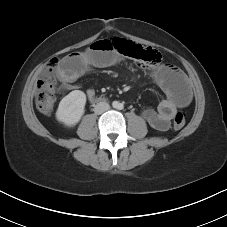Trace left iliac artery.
Masks as SVG:
<instances>
[{"mask_svg":"<svg viewBox=\"0 0 227 227\" xmlns=\"http://www.w3.org/2000/svg\"><path fill=\"white\" fill-rule=\"evenodd\" d=\"M123 108V105H120V109H122Z\"/></svg>","mask_w":227,"mask_h":227,"instance_id":"1","label":"left iliac artery"}]
</instances>
